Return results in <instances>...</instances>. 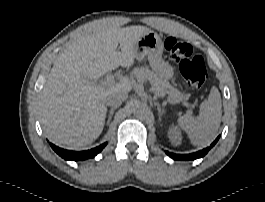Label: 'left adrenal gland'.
Instances as JSON below:
<instances>
[{
    "instance_id": "obj_1",
    "label": "left adrenal gland",
    "mask_w": 265,
    "mask_h": 202,
    "mask_svg": "<svg viewBox=\"0 0 265 202\" xmlns=\"http://www.w3.org/2000/svg\"><path fill=\"white\" fill-rule=\"evenodd\" d=\"M154 105L157 107L159 121L161 122L162 116L164 115V110L161 108V106L156 101H154Z\"/></svg>"
}]
</instances>
